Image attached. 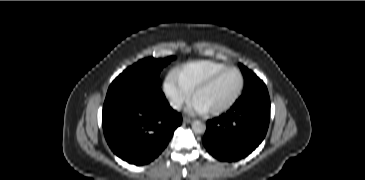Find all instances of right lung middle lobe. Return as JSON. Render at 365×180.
<instances>
[{"label": "right lung middle lobe", "mask_w": 365, "mask_h": 180, "mask_svg": "<svg viewBox=\"0 0 365 180\" xmlns=\"http://www.w3.org/2000/svg\"><path fill=\"white\" fill-rule=\"evenodd\" d=\"M174 56L165 59H142L124 70L109 86L108 93L116 92L131 85L155 84L160 85L161 69L174 60Z\"/></svg>", "instance_id": "right-lung-middle-lobe-1"}]
</instances>
